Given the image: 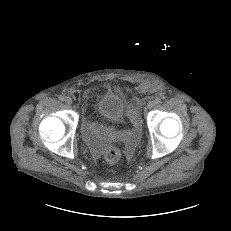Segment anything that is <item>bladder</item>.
<instances>
[{
	"label": "bladder",
	"instance_id": "bladder-1",
	"mask_svg": "<svg viewBox=\"0 0 231 231\" xmlns=\"http://www.w3.org/2000/svg\"><path fill=\"white\" fill-rule=\"evenodd\" d=\"M126 103L124 99L115 92H106L96 102V112L104 120L117 122L124 117Z\"/></svg>",
	"mask_w": 231,
	"mask_h": 231
}]
</instances>
